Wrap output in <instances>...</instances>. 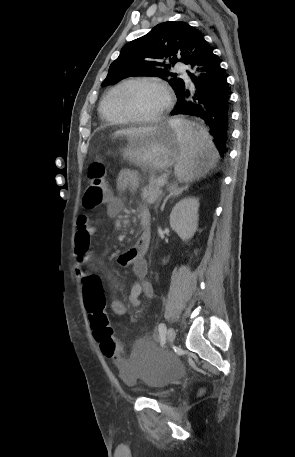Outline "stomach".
I'll use <instances>...</instances> for the list:
<instances>
[{"mask_svg":"<svg viewBox=\"0 0 295 457\" xmlns=\"http://www.w3.org/2000/svg\"><path fill=\"white\" fill-rule=\"evenodd\" d=\"M121 154L150 174L164 171L180 158L177 132L170 122H164L152 133L128 140Z\"/></svg>","mask_w":295,"mask_h":457,"instance_id":"1","label":"stomach"}]
</instances>
